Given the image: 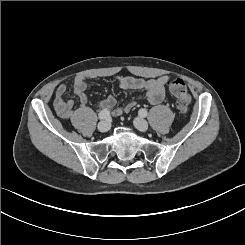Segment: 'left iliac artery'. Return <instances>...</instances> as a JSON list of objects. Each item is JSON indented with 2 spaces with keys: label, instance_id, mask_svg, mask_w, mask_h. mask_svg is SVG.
I'll return each instance as SVG.
<instances>
[{
  "label": "left iliac artery",
  "instance_id": "left-iliac-artery-1",
  "mask_svg": "<svg viewBox=\"0 0 245 245\" xmlns=\"http://www.w3.org/2000/svg\"><path fill=\"white\" fill-rule=\"evenodd\" d=\"M139 115L143 116V117H146L147 116V110L146 109H140L139 110Z\"/></svg>",
  "mask_w": 245,
  "mask_h": 245
}]
</instances>
